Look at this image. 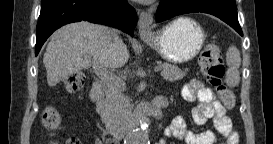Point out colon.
<instances>
[{"label": "colon", "instance_id": "obj_1", "mask_svg": "<svg viewBox=\"0 0 273 144\" xmlns=\"http://www.w3.org/2000/svg\"><path fill=\"white\" fill-rule=\"evenodd\" d=\"M199 67L208 84L217 90L222 102L228 108H232L234 96L223 83L225 74L224 58L218 45L211 43L205 47L199 58ZM84 83V74L75 73L67 79L66 86L70 92H77L82 89ZM43 120L45 125L51 129L56 128L59 123V117L52 109L45 112Z\"/></svg>", "mask_w": 273, "mask_h": 144}]
</instances>
